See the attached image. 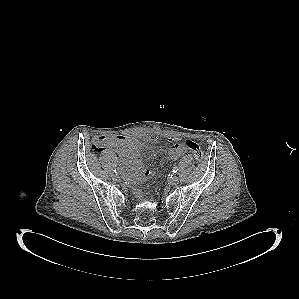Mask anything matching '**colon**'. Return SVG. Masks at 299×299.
I'll return each mask as SVG.
<instances>
[{
    "label": "colon",
    "instance_id": "1",
    "mask_svg": "<svg viewBox=\"0 0 299 299\" xmlns=\"http://www.w3.org/2000/svg\"><path fill=\"white\" fill-rule=\"evenodd\" d=\"M109 137L99 136L97 137L92 145L95 152H101L105 149ZM183 144L191 151L196 161L201 162L204 159V152L201 147L191 140H185Z\"/></svg>",
    "mask_w": 299,
    "mask_h": 299
}]
</instances>
